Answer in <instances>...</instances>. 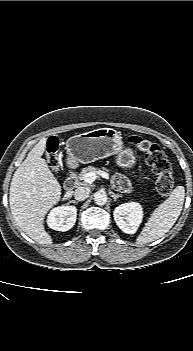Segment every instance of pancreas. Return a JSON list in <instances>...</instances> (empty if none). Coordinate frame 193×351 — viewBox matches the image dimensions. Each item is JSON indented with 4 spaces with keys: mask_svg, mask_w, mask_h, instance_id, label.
<instances>
[{
    "mask_svg": "<svg viewBox=\"0 0 193 351\" xmlns=\"http://www.w3.org/2000/svg\"><path fill=\"white\" fill-rule=\"evenodd\" d=\"M102 169L108 171L106 168H102ZM99 171H102V170H101L100 168H98V167H95V166H88V167H85V168H83V169L81 170V172L78 174L77 178H78L79 180H83L84 175H85L86 173L94 172V173L97 174Z\"/></svg>",
    "mask_w": 193,
    "mask_h": 351,
    "instance_id": "1",
    "label": "pancreas"
}]
</instances>
